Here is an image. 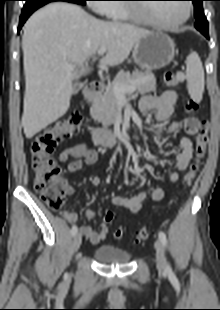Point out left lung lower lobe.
<instances>
[{"label": "left lung lower lobe", "mask_w": 220, "mask_h": 310, "mask_svg": "<svg viewBox=\"0 0 220 310\" xmlns=\"http://www.w3.org/2000/svg\"><path fill=\"white\" fill-rule=\"evenodd\" d=\"M203 35H204L207 39L209 38L208 33H204Z\"/></svg>", "instance_id": "1"}]
</instances>
